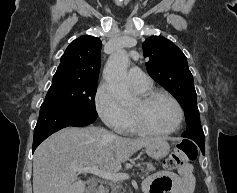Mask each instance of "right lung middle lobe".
<instances>
[{
    "label": "right lung middle lobe",
    "instance_id": "dd1d6c3e",
    "mask_svg": "<svg viewBox=\"0 0 237 193\" xmlns=\"http://www.w3.org/2000/svg\"><path fill=\"white\" fill-rule=\"evenodd\" d=\"M97 81L53 77L41 108H52L79 116L98 117L95 110Z\"/></svg>",
    "mask_w": 237,
    "mask_h": 193
}]
</instances>
